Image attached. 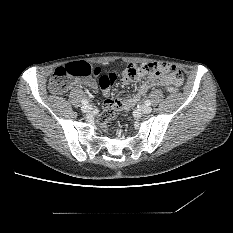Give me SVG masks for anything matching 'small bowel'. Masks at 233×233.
I'll return each mask as SVG.
<instances>
[{"mask_svg":"<svg viewBox=\"0 0 233 233\" xmlns=\"http://www.w3.org/2000/svg\"><path fill=\"white\" fill-rule=\"evenodd\" d=\"M164 64L165 63H157V62L151 63V65L154 67L156 72H160V73L164 72L161 69ZM165 73L166 75L153 76L147 79L145 82L142 83L138 93L135 95H132L130 97H117V98L107 99L104 102L103 107L105 109H114V108L132 106L139 101V99L143 94H145L150 88L154 86H162L168 90H172L175 86H178L181 83L182 75L178 69ZM116 77H117L116 73L113 70H110L106 74L102 75L98 81L94 79L85 78V79L76 80L75 84L85 86L86 88L91 90L100 88L103 94L105 96H108L111 92V87L114 84Z\"/></svg>","mask_w":233,"mask_h":233,"instance_id":"c3829d8e","label":"small bowel"}]
</instances>
